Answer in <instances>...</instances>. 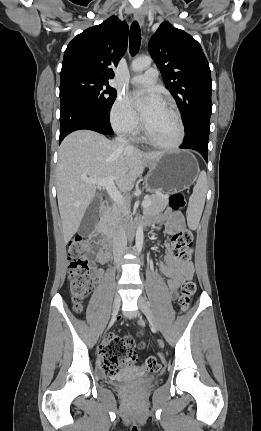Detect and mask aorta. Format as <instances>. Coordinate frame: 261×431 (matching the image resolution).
I'll use <instances>...</instances> for the list:
<instances>
[{
    "label": "aorta",
    "instance_id": "1",
    "mask_svg": "<svg viewBox=\"0 0 261 431\" xmlns=\"http://www.w3.org/2000/svg\"><path fill=\"white\" fill-rule=\"evenodd\" d=\"M152 59L148 56L139 57L132 61L131 67L134 72H141L151 65ZM135 247L138 253L141 252L143 247V228L138 226L136 231Z\"/></svg>",
    "mask_w": 261,
    "mask_h": 431
}]
</instances>
